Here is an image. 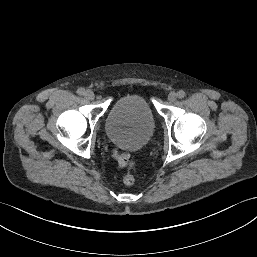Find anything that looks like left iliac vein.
Masks as SVG:
<instances>
[{
	"mask_svg": "<svg viewBox=\"0 0 257 257\" xmlns=\"http://www.w3.org/2000/svg\"><path fill=\"white\" fill-rule=\"evenodd\" d=\"M177 98V94L175 92H170L169 95H168V100L170 102H174Z\"/></svg>",
	"mask_w": 257,
	"mask_h": 257,
	"instance_id": "left-iliac-vein-1",
	"label": "left iliac vein"
}]
</instances>
